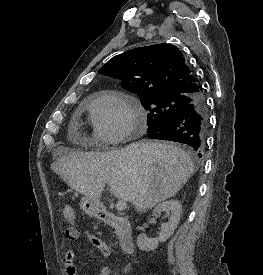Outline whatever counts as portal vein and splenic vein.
Returning a JSON list of instances; mask_svg holds the SVG:
<instances>
[{
	"instance_id": "portal-vein-and-splenic-vein-1",
	"label": "portal vein and splenic vein",
	"mask_w": 263,
	"mask_h": 275,
	"mask_svg": "<svg viewBox=\"0 0 263 275\" xmlns=\"http://www.w3.org/2000/svg\"><path fill=\"white\" fill-rule=\"evenodd\" d=\"M126 207H127L126 200H119L116 204V209L118 212L124 211Z\"/></svg>"
}]
</instances>
